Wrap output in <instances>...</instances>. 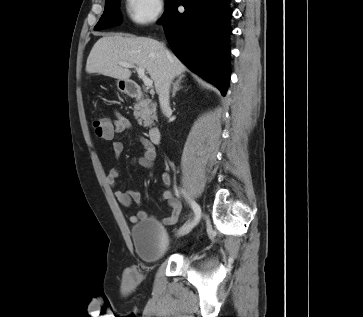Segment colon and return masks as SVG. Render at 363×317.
Listing matches in <instances>:
<instances>
[{"label": "colon", "mask_w": 363, "mask_h": 317, "mask_svg": "<svg viewBox=\"0 0 363 317\" xmlns=\"http://www.w3.org/2000/svg\"><path fill=\"white\" fill-rule=\"evenodd\" d=\"M93 127L96 133H100L101 131H106L110 127V123L108 120L104 118H96L93 121Z\"/></svg>", "instance_id": "colon-1"}]
</instances>
